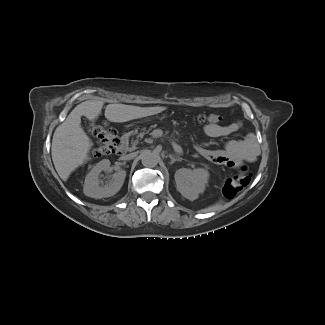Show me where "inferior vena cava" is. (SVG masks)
Returning a JSON list of instances; mask_svg holds the SVG:
<instances>
[{
    "instance_id": "obj_1",
    "label": "inferior vena cava",
    "mask_w": 325,
    "mask_h": 325,
    "mask_svg": "<svg viewBox=\"0 0 325 325\" xmlns=\"http://www.w3.org/2000/svg\"><path fill=\"white\" fill-rule=\"evenodd\" d=\"M135 157V154L134 153H130L128 155H125L122 157L123 160H131Z\"/></svg>"
}]
</instances>
